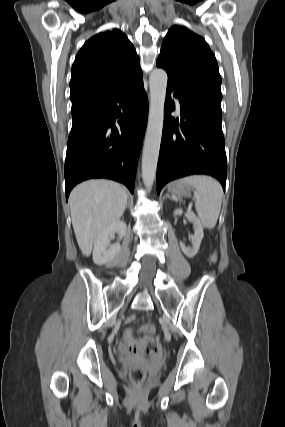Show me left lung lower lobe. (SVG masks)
Returning <instances> with one entry per match:
<instances>
[{
  "mask_svg": "<svg viewBox=\"0 0 285 427\" xmlns=\"http://www.w3.org/2000/svg\"><path fill=\"white\" fill-rule=\"evenodd\" d=\"M171 92L180 99V116L186 119L180 124L171 116L175 109ZM221 121V107L168 83L157 166L158 194L167 182L191 174L214 176L225 190L227 162Z\"/></svg>",
  "mask_w": 285,
  "mask_h": 427,
  "instance_id": "1",
  "label": "left lung lower lobe"
}]
</instances>
